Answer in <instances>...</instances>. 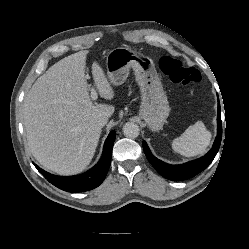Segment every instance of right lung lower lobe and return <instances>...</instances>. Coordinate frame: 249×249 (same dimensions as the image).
Masks as SVG:
<instances>
[{
	"label": "right lung lower lobe",
	"instance_id": "1",
	"mask_svg": "<svg viewBox=\"0 0 249 249\" xmlns=\"http://www.w3.org/2000/svg\"><path fill=\"white\" fill-rule=\"evenodd\" d=\"M115 137V131H111L105 141L100 161L93 168L83 174L68 177L56 176L44 171L35 164L34 165L51 184L59 189L67 192H84L94 189L103 182L107 175L111 163L112 148Z\"/></svg>",
	"mask_w": 249,
	"mask_h": 249
}]
</instances>
